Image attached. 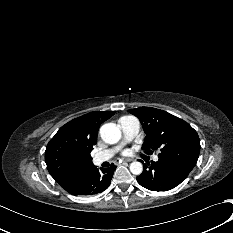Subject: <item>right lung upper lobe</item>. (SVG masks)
<instances>
[{
	"instance_id": "obj_1",
	"label": "right lung upper lobe",
	"mask_w": 233,
	"mask_h": 233,
	"mask_svg": "<svg viewBox=\"0 0 233 233\" xmlns=\"http://www.w3.org/2000/svg\"><path fill=\"white\" fill-rule=\"evenodd\" d=\"M114 114L115 111H95L75 118L63 125L47 144V169L66 191L72 190L79 178L94 167L90 153L98 129Z\"/></svg>"
}]
</instances>
